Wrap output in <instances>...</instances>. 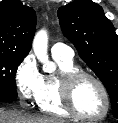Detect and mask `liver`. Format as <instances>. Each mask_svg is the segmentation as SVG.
<instances>
[{"label":"liver","instance_id":"6515ba94","mask_svg":"<svg viewBox=\"0 0 118 123\" xmlns=\"http://www.w3.org/2000/svg\"><path fill=\"white\" fill-rule=\"evenodd\" d=\"M0 123H67L54 117H42L24 114L18 111H6L0 109Z\"/></svg>","mask_w":118,"mask_h":123}]
</instances>
